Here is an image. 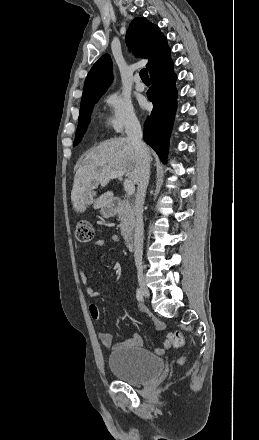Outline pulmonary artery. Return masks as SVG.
<instances>
[{
	"label": "pulmonary artery",
	"mask_w": 259,
	"mask_h": 440,
	"mask_svg": "<svg viewBox=\"0 0 259 440\" xmlns=\"http://www.w3.org/2000/svg\"><path fill=\"white\" fill-rule=\"evenodd\" d=\"M134 80H135V89L140 92L144 91L145 86L142 83L140 76L136 75Z\"/></svg>",
	"instance_id": "pulmonary-artery-1"
}]
</instances>
